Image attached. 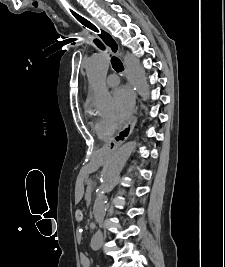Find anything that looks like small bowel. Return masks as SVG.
I'll return each mask as SVG.
<instances>
[{"instance_id": "obj_1", "label": "small bowel", "mask_w": 225, "mask_h": 267, "mask_svg": "<svg viewBox=\"0 0 225 267\" xmlns=\"http://www.w3.org/2000/svg\"><path fill=\"white\" fill-rule=\"evenodd\" d=\"M79 259L82 267H89V259L85 254H81Z\"/></svg>"}]
</instances>
